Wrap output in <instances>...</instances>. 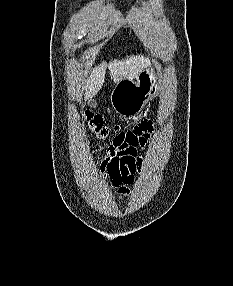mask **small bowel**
I'll list each match as a JSON object with an SVG mask.
<instances>
[{
	"instance_id": "1",
	"label": "small bowel",
	"mask_w": 233,
	"mask_h": 286,
	"mask_svg": "<svg viewBox=\"0 0 233 286\" xmlns=\"http://www.w3.org/2000/svg\"><path fill=\"white\" fill-rule=\"evenodd\" d=\"M153 130L152 122L145 121L137 130L118 136L106 147V156L101 162L100 171L120 193L128 192V186L141 171L143 158L139 149L147 145Z\"/></svg>"
}]
</instances>
